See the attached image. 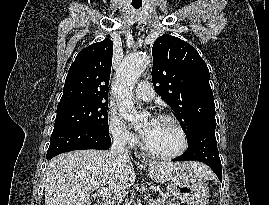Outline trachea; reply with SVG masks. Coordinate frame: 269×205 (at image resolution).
I'll list each match as a JSON object with an SVG mask.
<instances>
[{
	"mask_svg": "<svg viewBox=\"0 0 269 205\" xmlns=\"http://www.w3.org/2000/svg\"><path fill=\"white\" fill-rule=\"evenodd\" d=\"M133 7H134L135 9H139V8L141 7V5H133Z\"/></svg>",
	"mask_w": 269,
	"mask_h": 205,
	"instance_id": "obj_1",
	"label": "trachea"
}]
</instances>
